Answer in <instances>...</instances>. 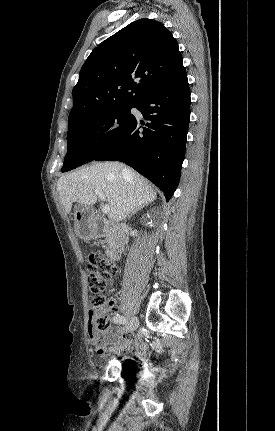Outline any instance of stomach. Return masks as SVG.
<instances>
[{
    "label": "stomach",
    "instance_id": "0dacf381",
    "mask_svg": "<svg viewBox=\"0 0 275 431\" xmlns=\"http://www.w3.org/2000/svg\"><path fill=\"white\" fill-rule=\"evenodd\" d=\"M93 213L90 207L79 204L74 210L75 232L82 239L94 236Z\"/></svg>",
    "mask_w": 275,
    "mask_h": 431
}]
</instances>
